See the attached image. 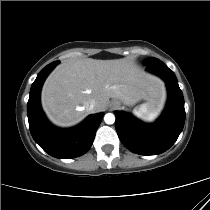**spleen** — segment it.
Instances as JSON below:
<instances>
[{
    "instance_id": "obj_1",
    "label": "spleen",
    "mask_w": 210,
    "mask_h": 210,
    "mask_svg": "<svg viewBox=\"0 0 210 210\" xmlns=\"http://www.w3.org/2000/svg\"><path fill=\"white\" fill-rule=\"evenodd\" d=\"M161 108V104L155 102H147L134 110V115L138 118H145L148 121H153Z\"/></svg>"
}]
</instances>
